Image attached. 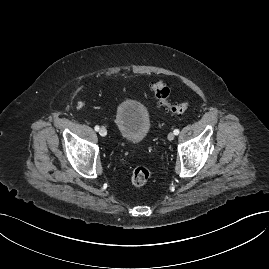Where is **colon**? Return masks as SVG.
Masks as SVG:
<instances>
[{
  "label": "colon",
  "mask_w": 269,
  "mask_h": 269,
  "mask_svg": "<svg viewBox=\"0 0 269 269\" xmlns=\"http://www.w3.org/2000/svg\"><path fill=\"white\" fill-rule=\"evenodd\" d=\"M151 90L158 101L159 107L173 114H182L189 107L190 102L184 100L178 103L170 99V89L163 81H155L151 84ZM151 170L145 164L137 165L131 173V182L133 185L140 187L145 185L151 178Z\"/></svg>",
  "instance_id": "colon-1"
}]
</instances>
